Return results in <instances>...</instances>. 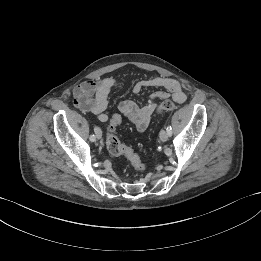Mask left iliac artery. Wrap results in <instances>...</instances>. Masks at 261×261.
I'll list each match as a JSON object with an SVG mask.
<instances>
[{"label": "left iliac artery", "mask_w": 261, "mask_h": 261, "mask_svg": "<svg viewBox=\"0 0 261 261\" xmlns=\"http://www.w3.org/2000/svg\"><path fill=\"white\" fill-rule=\"evenodd\" d=\"M166 130H167L168 135L171 136L172 135V128H171V126L168 125Z\"/></svg>", "instance_id": "1"}]
</instances>
